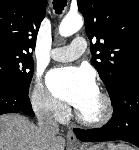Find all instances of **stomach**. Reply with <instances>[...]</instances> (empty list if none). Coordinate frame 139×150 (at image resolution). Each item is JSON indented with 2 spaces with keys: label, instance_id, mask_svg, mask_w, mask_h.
I'll list each match as a JSON object with an SVG mask.
<instances>
[{
  "label": "stomach",
  "instance_id": "obj_1",
  "mask_svg": "<svg viewBox=\"0 0 139 150\" xmlns=\"http://www.w3.org/2000/svg\"><path fill=\"white\" fill-rule=\"evenodd\" d=\"M78 150H118V148L111 143H101L85 149Z\"/></svg>",
  "mask_w": 139,
  "mask_h": 150
}]
</instances>
